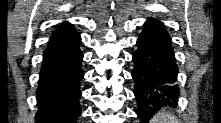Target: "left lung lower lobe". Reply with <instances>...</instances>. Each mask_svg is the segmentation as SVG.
Wrapping results in <instances>:
<instances>
[{
    "label": "left lung lower lobe",
    "mask_w": 221,
    "mask_h": 123,
    "mask_svg": "<svg viewBox=\"0 0 221 123\" xmlns=\"http://www.w3.org/2000/svg\"><path fill=\"white\" fill-rule=\"evenodd\" d=\"M137 46L132 56L136 113L142 122H146L160 107L176 103L179 96L175 83L178 67L171 38L159 20L145 22Z\"/></svg>",
    "instance_id": "left-lung-lower-lobe-1"
}]
</instances>
